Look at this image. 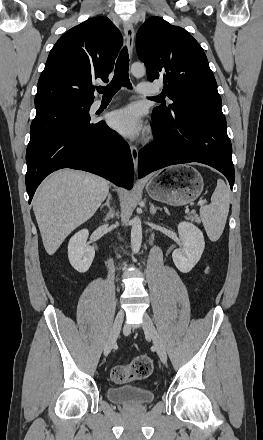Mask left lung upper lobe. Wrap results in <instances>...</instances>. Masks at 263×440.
Masks as SVG:
<instances>
[{"mask_svg":"<svg viewBox=\"0 0 263 440\" xmlns=\"http://www.w3.org/2000/svg\"><path fill=\"white\" fill-rule=\"evenodd\" d=\"M139 59L148 80L164 82L173 101L160 105L153 114L172 120L178 115L222 113V101L207 57L199 43L183 28L154 16L140 27L136 37Z\"/></svg>","mask_w":263,"mask_h":440,"instance_id":"left-lung-upper-lobe-1","label":"left lung upper lobe"}]
</instances>
